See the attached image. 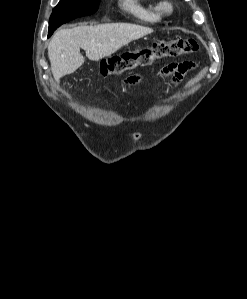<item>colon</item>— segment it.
Here are the masks:
<instances>
[{
	"label": "colon",
	"mask_w": 247,
	"mask_h": 299,
	"mask_svg": "<svg viewBox=\"0 0 247 299\" xmlns=\"http://www.w3.org/2000/svg\"><path fill=\"white\" fill-rule=\"evenodd\" d=\"M198 48V43L193 38L154 40L149 45L134 51L124 52L103 60L99 72L102 77L120 75L139 67L149 66L165 58L195 53Z\"/></svg>",
	"instance_id": "5ec220e1"
}]
</instances>
